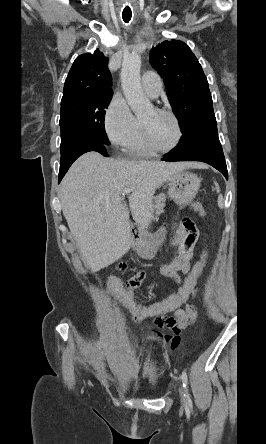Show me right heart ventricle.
Returning <instances> with one entry per match:
<instances>
[{"label": "right heart ventricle", "mask_w": 266, "mask_h": 444, "mask_svg": "<svg viewBox=\"0 0 266 444\" xmlns=\"http://www.w3.org/2000/svg\"><path fill=\"white\" fill-rule=\"evenodd\" d=\"M125 148L127 154L132 157H149L154 154L144 143L139 120H137L134 135Z\"/></svg>", "instance_id": "right-heart-ventricle-1"}]
</instances>
